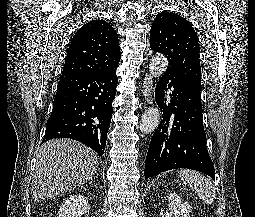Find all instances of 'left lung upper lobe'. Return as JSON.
<instances>
[{"instance_id":"obj_1","label":"left lung upper lobe","mask_w":255,"mask_h":217,"mask_svg":"<svg viewBox=\"0 0 255 217\" xmlns=\"http://www.w3.org/2000/svg\"><path fill=\"white\" fill-rule=\"evenodd\" d=\"M150 46L167 57V71L201 87L200 47L189 21L172 12H160L151 26Z\"/></svg>"}]
</instances>
